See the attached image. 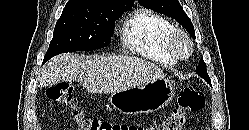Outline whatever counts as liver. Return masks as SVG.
<instances>
[{
	"label": "liver",
	"mask_w": 249,
	"mask_h": 130,
	"mask_svg": "<svg viewBox=\"0 0 249 130\" xmlns=\"http://www.w3.org/2000/svg\"><path fill=\"white\" fill-rule=\"evenodd\" d=\"M165 78L155 64L129 56L61 54L49 60L38 76V86L78 81L89 93L109 94Z\"/></svg>",
	"instance_id": "obj_1"
}]
</instances>
